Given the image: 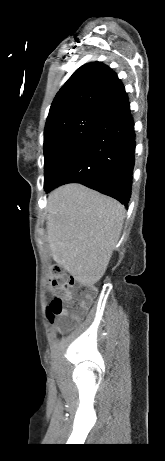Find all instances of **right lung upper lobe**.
Wrapping results in <instances>:
<instances>
[{
  "label": "right lung upper lobe",
  "mask_w": 165,
  "mask_h": 461,
  "mask_svg": "<svg viewBox=\"0 0 165 461\" xmlns=\"http://www.w3.org/2000/svg\"><path fill=\"white\" fill-rule=\"evenodd\" d=\"M130 107L117 74L101 62L78 68L55 96L46 125L56 119L93 115L103 120Z\"/></svg>",
  "instance_id": "1"
}]
</instances>
